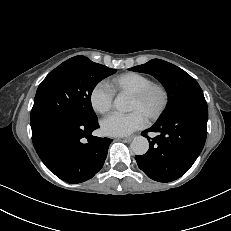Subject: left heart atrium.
<instances>
[{"label": "left heart atrium", "instance_id": "39dd6f15", "mask_svg": "<svg viewBox=\"0 0 231 231\" xmlns=\"http://www.w3.org/2000/svg\"><path fill=\"white\" fill-rule=\"evenodd\" d=\"M146 116L140 111L128 114H111L101 121L102 132L108 136H127L144 127Z\"/></svg>", "mask_w": 231, "mask_h": 231}]
</instances>
